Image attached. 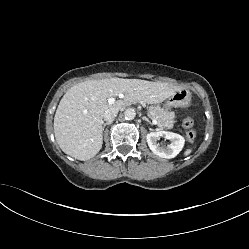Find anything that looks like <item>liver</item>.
Returning a JSON list of instances; mask_svg holds the SVG:
<instances>
[{
	"instance_id": "obj_1",
	"label": "liver",
	"mask_w": 249,
	"mask_h": 249,
	"mask_svg": "<svg viewBox=\"0 0 249 249\" xmlns=\"http://www.w3.org/2000/svg\"><path fill=\"white\" fill-rule=\"evenodd\" d=\"M176 90L177 86L168 83L117 77L78 83L66 91L57 107L53 125L56 141L64 153L89 160L102 147L107 110L131 103H160ZM118 94H125V99L108 104L107 100Z\"/></svg>"
}]
</instances>
